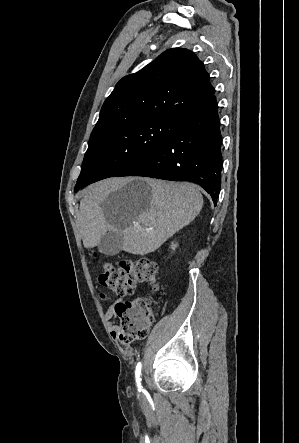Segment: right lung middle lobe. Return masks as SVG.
Instances as JSON below:
<instances>
[{
    "label": "right lung middle lobe",
    "mask_w": 299,
    "mask_h": 443,
    "mask_svg": "<svg viewBox=\"0 0 299 443\" xmlns=\"http://www.w3.org/2000/svg\"><path fill=\"white\" fill-rule=\"evenodd\" d=\"M176 126V118H144L91 136L75 191L120 176L153 153Z\"/></svg>",
    "instance_id": "dd1d6c3e"
}]
</instances>
